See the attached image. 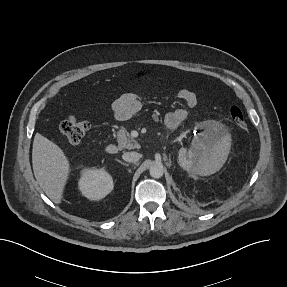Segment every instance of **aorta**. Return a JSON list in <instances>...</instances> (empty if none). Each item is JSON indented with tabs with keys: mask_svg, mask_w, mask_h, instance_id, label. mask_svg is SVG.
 I'll list each match as a JSON object with an SVG mask.
<instances>
[{
	"mask_svg": "<svg viewBox=\"0 0 287 287\" xmlns=\"http://www.w3.org/2000/svg\"><path fill=\"white\" fill-rule=\"evenodd\" d=\"M150 175L153 178H161L164 174V168L161 164H154L149 169Z\"/></svg>",
	"mask_w": 287,
	"mask_h": 287,
	"instance_id": "aorta-1",
	"label": "aorta"
}]
</instances>
